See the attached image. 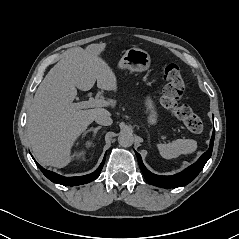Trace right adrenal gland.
Here are the masks:
<instances>
[{
    "mask_svg": "<svg viewBox=\"0 0 239 239\" xmlns=\"http://www.w3.org/2000/svg\"><path fill=\"white\" fill-rule=\"evenodd\" d=\"M101 128H102L101 126H98V127H96V128H90V129L86 130L85 133H89V132L93 131V137H95L96 134H97V132H98Z\"/></svg>",
    "mask_w": 239,
    "mask_h": 239,
    "instance_id": "obj_1",
    "label": "right adrenal gland"
}]
</instances>
